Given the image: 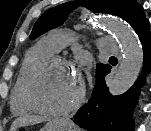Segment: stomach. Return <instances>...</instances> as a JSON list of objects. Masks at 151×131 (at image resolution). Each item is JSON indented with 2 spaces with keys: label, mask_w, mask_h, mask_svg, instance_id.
<instances>
[{
  "label": "stomach",
  "mask_w": 151,
  "mask_h": 131,
  "mask_svg": "<svg viewBox=\"0 0 151 131\" xmlns=\"http://www.w3.org/2000/svg\"><path fill=\"white\" fill-rule=\"evenodd\" d=\"M41 131H77V128L68 120L56 119L47 123Z\"/></svg>",
  "instance_id": "obj_1"
}]
</instances>
